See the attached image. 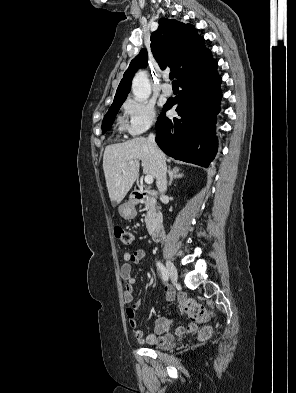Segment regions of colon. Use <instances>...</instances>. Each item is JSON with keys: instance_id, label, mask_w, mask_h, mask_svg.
Here are the masks:
<instances>
[{"instance_id": "5ec220e1", "label": "colon", "mask_w": 296, "mask_h": 393, "mask_svg": "<svg viewBox=\"0 0 296 393\" xmlns=\"http://www.w3.org/2000/svg\"><path fill=\"white\" fill-rule=\"evenodd\" d=\"M114 235L115 237L120 240L123 244H130L133 240L132 234L130 231L122 228V227H115L114 228ZM182 307L184 311L189 315V317L195 321L203 322L208 319V311L196 302L193 299H185L182 302ZM212 332V328L207 326L204 327L200 332V338L206 339L210 336Z\"/></svg>"}]
</instances>
